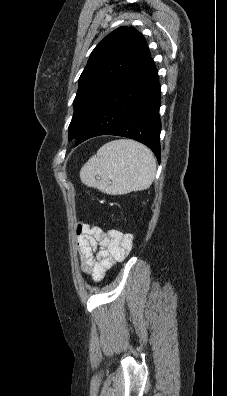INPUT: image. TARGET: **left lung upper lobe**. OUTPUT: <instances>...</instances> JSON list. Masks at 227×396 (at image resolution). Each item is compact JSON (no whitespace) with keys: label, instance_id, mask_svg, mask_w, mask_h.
I'll return each instance as SVG.
<instances>
[{"label":"left lung upper lobe","instance_id":"1","mask_svg":"<svg viewBox=\"0 0 227 396\" xmlns=\"http://www.w3.org/2000/svg\"><path fill=\"white\" fill-rule=\"evenodd\" d=\"M149 56L145 38L133 27L117 28L95 47L79 79L69 141L78 139L99 103Z\"/></svg>","mask_w":227,"mask_h":396}]
</instances>
